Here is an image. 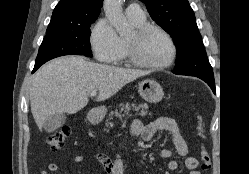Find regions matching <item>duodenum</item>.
Here are the masks:
<instances>
[{"instance_id":"410a0bca","label":"duodenum","mask_w":249,"mask_h":174,"mask_svg":"<svg viewBox=\"0 0 249 174\" xmlns=\"http://www.w3.org/2000/svg\"><path fill=\"white\" fill-rule=\"evenodd\" d=\"M92 121H94V116H91Z\"/></svg>"}]
</instances>
